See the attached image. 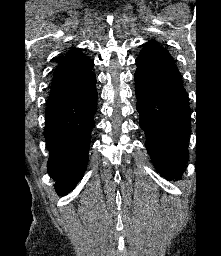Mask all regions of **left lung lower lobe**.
Wrapping results in <instances>:
<instances>
[{
  "label": "left lung lower lobe",
  "instance_id": "0a47b994",
  "mask_svg": "<svg viewBox=\"0 0 221 256\" xmlns=\"http://www.w3.org/2000/svg\"><path fill=\"white\" fill-rule=\"evenodd\" d=\"M135 93L140 127L158 172L180 179L188 160L191 132L187 93L178 70H136Z\"/></svg>",
  "mask_w": 221,
  "mask_h": 256
}]
</instances>
